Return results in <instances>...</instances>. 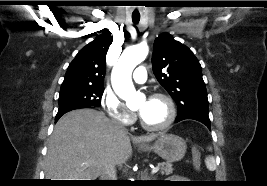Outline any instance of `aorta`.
I'll use <instances>...</instances> for the list:
<instances>
[{
  "label": "aorta",
  "mask_w": 267,
  "mask_h": 186,
  "mask_svg": "<svg viewBox=\"0 0 267 186\" xmlns=\"http://www.w3.org/2000/svg\"><path fill=\"white\" fill-rule=\"evenodd\" d=\"M149 52L147 45H136L127 48L112 70V86L115 93L128 105L138 102L139 94L132 82V71L145 60Z\"/></svg>",
  "instance_id": "1"
}]
</instances>
